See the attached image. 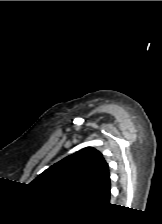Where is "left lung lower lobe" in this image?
<instances>
[{
    "label": "left lung lower lobe",
    "instance_id": "left-lung-lower-lobe-1",
    "mask_svg": "<svg viewBox=\"0 0 162 224\" xmlns=\"http://www.w3.org/2000/svg\"><path fill=\"white\" fill-rule=\"evenodd\" d=\"M87 200L100 204H109L110 200V179H108L99 190L91 194Z\"/></svg>",
    "mask_w": 162,
    "mask_h": 224
}]
</instances>
